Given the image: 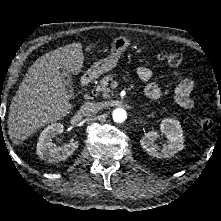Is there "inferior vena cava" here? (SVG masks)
<instances>
[{
	"label": "inferior vena cava",
	"instance_id": "inferior-vena-cava-1",
	"mask_svg": "<svg viewBox=\"0 0 221 221\" xmlns=\"http://www.w3.org/2000/svg\"><path fill=\"white\" fill-rule=\"evenodd\" d=\"M100 110V105L95 101H87L80 107L83 115H92Z\"/></svg>",
	"mask_w": 221,
	"mask_h": 221
}]
</instances>
